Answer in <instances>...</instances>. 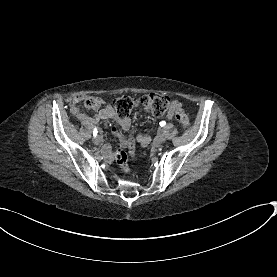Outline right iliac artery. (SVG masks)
Wrapping results in <instances>:
<instances>
[{
    "label": "right iliac artery",
    "instance_id": "82829eb1",
    "mask_svg": "<svg viewBox=\"0 0 277 277\" xmlns=\"http://www.w3.org/2000/svg\"><path fill=\"white\" fill-rule=\"evenodd\" d=\"M97 133H98V131H97V128L95 127V128H94V131H93V136L96 137V136H97Z\"/></svg>",
    "mask_w": 277,
    "mask_h": 277
}]
</instances>
